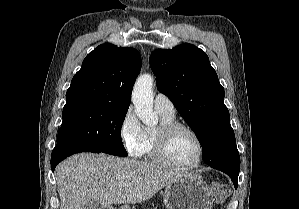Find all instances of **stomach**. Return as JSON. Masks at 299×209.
Returning <instances> with one entry per match:
<instances>
[{"mask_svg": "<svg viewBox=\"0 0 299 209\" xmlns=\"http://www.w3.org/2000/svg\"><path fill=\"white\" fill-rule=\"evenodd\" d=\"M166 209H212L213 195L200 175L190 174L165 187Z\"/></svg>", "mask_w": 299, "mask_h": 209, "instance_id": "0dacf381", "label": "stomach"}]
</instances>
